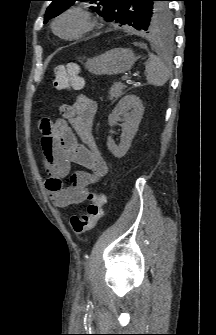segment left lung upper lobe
Segmentation results:
<instances>
[{"label": "left lung upper lobe", "mask_w": 216, "mask_h": 335, "mask_svg": "<svg viewBox=\"0 0 216 335\" xmlns=\"http://www.w3.org/2000/svg\"><path fill=\"white\" fill-rule=\"evenodd\" d=\"M46 10L44 23L58 16L76 0H51ZM97 6L91 9L107 21L119 26H130L150 34L170 33L172 15L168 0H86Z\"/></svg>", "instance_id": "5c2ea615"}]
</instances>
